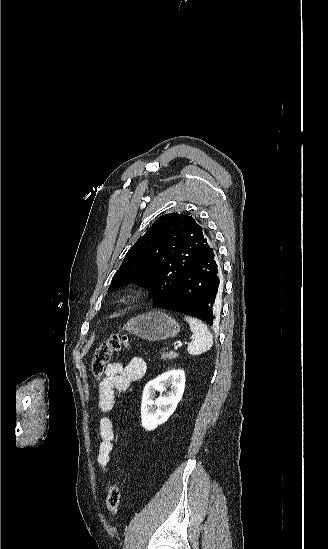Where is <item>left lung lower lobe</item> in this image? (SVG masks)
Listing matches in <instances>:
<instances>
[{
    "instance_id": "obj_1",
    "label": "left lung lower lobe",
    "mask_w": 328,
    "mask_h": 549,
    "mask_svg": "<svg viewBox=\"0 0 328 549\" xmlns=\"http://www.w3.org/2000/svg\"><path fill=\"white\" fill-rule=\"evenodd\" d=\"M220 274L213 248L201 253L181 276L173 291L153 307L184 313L213 325L217 315Z\"/></svg>"
}]
</instances>
